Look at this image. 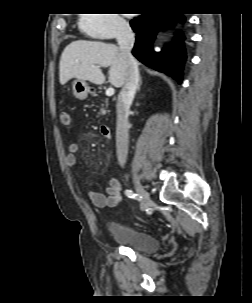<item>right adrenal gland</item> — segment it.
<instances>
[{"label": "right adrenal gland", "instance_id": "right-adrenal-gland-1", "mask_svg": "<svg viewBox=\"0 0 252 303\" xmlns=\"http://www.w3.org/2000/svg\"><path fill=\"white\" fill-rule=\"evenodd\" d=\"M141 85H142V80H141V78H140V80H139V85H138V88H137L138 91H140Z\"/></svg>", "mask_w": 252, "mask_h": 303}]
</instances>
